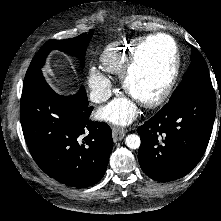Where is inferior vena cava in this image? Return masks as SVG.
<instances>
[{
	"label": "inferior vena cava",
	"mask_w": 221,
	"mask_h": 221,
	"mask_svg": "<svg viewBox=\"0 0 221 221\" xmlns=\"http://www.w3.org/2000/svg\"><path fill=\"white\" fill-rule=\"evenodd\" d=\"M89 96L92 102L101 103L106 101L111 96V92L106 89H95L90 92Z\"/></svg>",
	"instance_id": "obj_1"
}]
</instances>
